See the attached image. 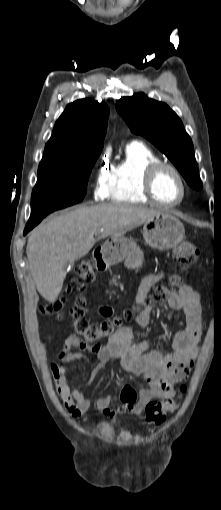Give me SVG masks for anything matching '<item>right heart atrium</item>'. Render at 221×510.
<instances>
[{"label":"right heart atrium","instance_id":"d8ad5b80","mask_svg":"<svg viewBox=\"0 0 221 510\" xmlns=\"http://www.w3.org/2000/svg\"><path fill=\"white\" fill-rule=\"evenodd\" d=\"M111 170L107 166L106 159H102L94 182V197L96 200H104L109 195Z\"/></svg>","mask_w":221,"mask_h":510}]
</instances>
